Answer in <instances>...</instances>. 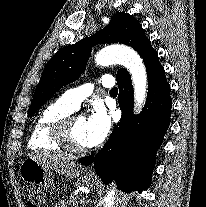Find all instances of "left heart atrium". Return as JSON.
<instances>
[{"instance_id": "left-heart-atrium-1", "label": "left heart atrium", "mask_w": 206, "mask_h": 207, "mask_svg": "<svg viewBox=\"0 0 206 207\" xmlns=\"http://www.w3.org/2000/svg\"><path fill=\"white\" fill-rule=\"evenodd\" d=\"M112 125L111 115L101 104H96L86 120V142L88 147L102 143L108 136Z\"/></svg>"}]
</instances>
